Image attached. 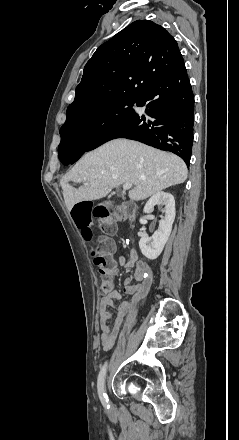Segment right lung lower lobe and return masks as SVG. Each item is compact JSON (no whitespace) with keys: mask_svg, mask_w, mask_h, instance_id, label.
<instances>
[{"mask_svg":"<svg viewBox=\"0 0 239 440\" xmlns=\"http://www.w3.org/2000/svg\"><path fill=\"white\" fill-rule=\"evenodd\" d=\"M146 115L131 114L97 136L86 148L67 147L58 152L64 165L73 164L86 151L115 138H128L180 156L187 166L193 143L194 95L183 58L166 76L151 85L135 102Z\"/></svg>","mask_w":239,"mask_h":440,"instance_id":"98d812e1","label":"right lung lower lobe"}]
</instances>
